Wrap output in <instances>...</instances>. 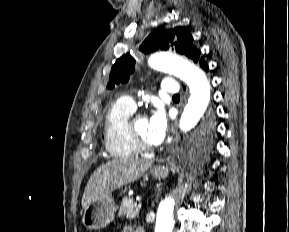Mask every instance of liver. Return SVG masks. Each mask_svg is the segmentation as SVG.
<instances>
[{"mask_svg":"<svg viewBox=\"0 0 289 232\" xmlns=\"http://www.w3.org/2000/svg\"><path fill=\"white\" fill-rule=\"evenodd\" d=\"M152 163L147 159H119L101 165L87 182L81 201L83 209L95 199L139 180Z\"/></svg>","mask_w":289,"mask_h":232,"instance_id":"liver-1","label":"liver"}]
</instances>
